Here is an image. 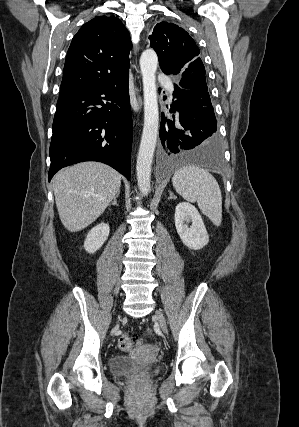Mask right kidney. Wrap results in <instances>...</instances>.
<instances>
[{"mask_svg":"<svg viewBox=\"0 0 299 427\" xmlns=\"http://www.w3.org/2000/svg\"><path fill=\"white\" fill-rule=\"evenodd\" d=\"M110 227L106 223H100L93 227L84 241V248L88 253L96 252L107 240Z\"/></svg>","mask_w":299,"mask_h":427,"instance_id":"obj_1","label":"right kidney"}]
</instances>
